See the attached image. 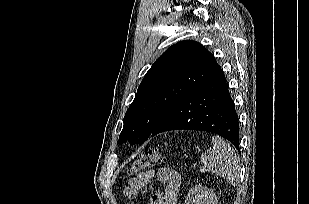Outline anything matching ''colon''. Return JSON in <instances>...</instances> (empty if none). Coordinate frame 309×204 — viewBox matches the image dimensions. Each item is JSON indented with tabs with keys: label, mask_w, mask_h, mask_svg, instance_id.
I'll return each instance as SVG.
<instances>
[{
	"label": "colon",
	"mask_w": 309,
	"mask_h": 204,
	"mask_svg": "<svg viewBox=\"0 0 309 204\" xmlns=\"http://www.w3.org/2000/svg\"><path fill=\"white\" fill-rule=\"evenodd\" d=\"M164 161V156L158 148L146 149L132 163L128 174L140 173Z\"/></svg>",
	"instance_id": "5ec220e1"
}]
</instances>
